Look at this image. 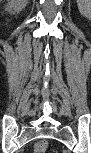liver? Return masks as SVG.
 Returning a JSON list of instances; mask_svg holds the SVG:
<instances>
[{
	"label": "liver",
	"instance_id": "1",
	"mask_svg": "<svg viewBox=\"0 0 91 153\" xmlns=\"http://www.w3.org/2000/svg\"><path fill=\"white\" fill-rule=\"evenodd\" d=\"M20 3H21L22 5H26V4H27V1H26V0H20Z\"/></svg>",
	"mask_w": 91,
	"mask_h": 153
}]
</instances>
